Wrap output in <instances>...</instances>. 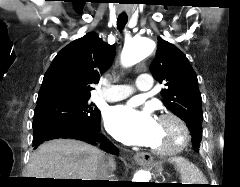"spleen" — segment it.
Wrapping results in <instances>:
<instances>
[{
    "label": "spleen",
    "mask_w": 240,
    "mask_h": 187,
    "mask_svg": "<svg viewBox=\"0 0 240 187\" xmlns=\"http://www.w3.org/2000/svg\"><path fill=\"white\" fill-rule=\"evenodd\" d=\"M170 161L175 164L184 184H206L203 173L193 163L183 157H173Z\"/></svg>",
    "instance_id": "obj_1"
}]
</instances>
